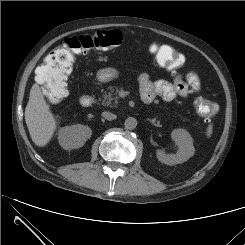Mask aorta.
Wrapping results in <instances>:
<instances>
[{
  "mask_svg": "<svg viewBox=\"0 0 245 245\" xmlns=\"http://www.w3.org/2000/svg\"><path fill=\"white\" fill-rule=\"evenodd\" d=\"M124 126L128 130H133L137 126V120L134 117H128L124 122Z\"/></svg>",
  "mask_w": 245,
  "mask_h": 245,
  "instance_id": "1",
  "label": "aorta"
}]
</instances>
